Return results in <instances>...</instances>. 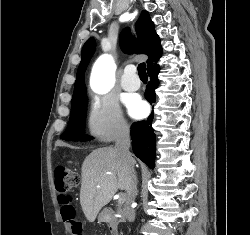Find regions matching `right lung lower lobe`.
<instances>
[{
    "instance_id": "right-lung-lower-lobe-1",
    "label": "right lung lower lobe",
    "mask_w": 250,
    "mask_h": 235,
    "mask_svg": "<svg viewBox=\"0 0 250 235\" xmlns=\"http://www.w3.org/2000/svg\"><path fill=\"white\" fill-rule=\"evenodd\" d=\"M162 50L147 64L150 81L146 87L145 96L150 103H155V89L159 85V65L156 63L161 57ZM153 112L146 121L133 124L131 128L132 146L135 155L145 162L150 168H154L155 162V134L151 127Z\"/></svg>"
}]
</instances>
